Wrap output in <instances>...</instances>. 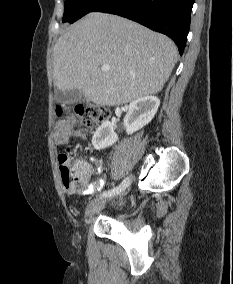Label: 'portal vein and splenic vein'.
<instances>
[{"label": "portal vein and splenic vein", "mask_w": 233, "mask_h": 284, "mask_svg": "<svg viewBox=\"0 0 233 284\" xmlns=\"http://www.w3.org/2000/svg\"><path fill=\"white\" fill-rule=\"evenodd\" d=\"M101 69H102V71H109L110 66H109V65L104 64V65H102Z\"/></svg>", "instance_id": "18ae733b"}]
</instances>
